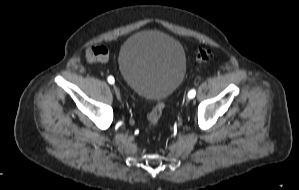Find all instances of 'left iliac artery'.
<instances>
[{"instance_id":"44dca946","label":"left iliac artery","mask_w":299,"mask_h":190,"mask_svg":"<svg viewBox=\"0 0 299 190\" xmlns=\"http://www.w3.org/2000/svg\"><path fill=\"white\" fill-rule=\"evenodd\" d=\"M195 95H196V91H195L194 89H192V90L189 91V93H188V97H189V98H194Z\"/></svg>"}]
</instances>
